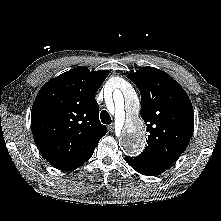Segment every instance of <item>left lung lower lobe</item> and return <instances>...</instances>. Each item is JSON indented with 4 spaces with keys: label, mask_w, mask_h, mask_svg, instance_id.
I'll return each mask as SVG.
<instances>
[{
    "label": "left lung lower lobe",
    "mask_w": 221,
    "mask_h": 221,
    "mask_svg": "<svg viewBox=\"0 0 221 221\" xmlns=\"http://www.w3.org/2000/svg\"><path fill=\"white\" fill-rule=\"evenodd\" d=\"M125 161L138 173L146 176L159 175L170 167L167 163L143 155L137 157L126 156Z\"/></svg>",
    "instance_id": "0a47b994"
}]
</instances>
